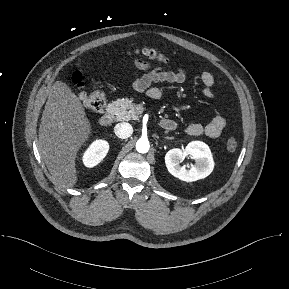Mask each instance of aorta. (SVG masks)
<instances>
[{"instance_id":"aorta-1","label":"aorta","mask_w":289,"mask_h":289,"mask_svg":"<svg viewBox=\"0 0 289 289\" xmlns=\"http://www.w3.org/2000/svg\"><path fill=\"white\" fill-rule=\"evenodd\" d=\"M149 148H150L149 141L145 138H140L136 142V150L139 153H147L149 151Z\"/></svg>"}]
</instances>
